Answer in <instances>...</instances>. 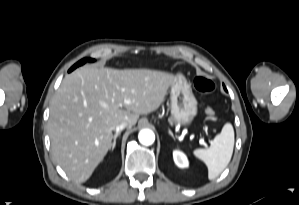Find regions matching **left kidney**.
<instances>
[{
	"label": "left kidney",
	"instance_id": "obj_1",
	"mask_svg": "<svg viewBox=\"0 0 299 205\" xmlns=\"http://www.w3.org/2000/svg\"><path fill=\"white\" fill-rule=\"evenodd\" d=\"M173 159L175 164L180 167V168H186L188 167V159L186 157V155L179 151V150H174L173 151Z\"/></svg>",
	"mask_w": 299,
	"mask_h": 205
}]
</instances>
